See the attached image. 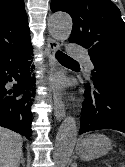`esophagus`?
I'll list each match as a JSON object with an SVG mask.
<instances>
[{"label":"esophagus","mask_w":125,"mask_h":167,"mask_svg":"<svg viewBox=\"0 0 125 167\" xmlns=\"http://www.w3.org/2000/svg\"><path fill=\"white\" fill-rule=\"evenodd\" d=\"M59 49V43L57 40L49 37L47 39V56L49 59V70L48 73L50 78H52L55 72L58 69V63L55 59V53ZM53 106H54V116L55 118L60 121L65 114V103L62 100L61 95L55 91L53 95Z\"/></svg>","instance_id":"34e87169"}]
</instances>
